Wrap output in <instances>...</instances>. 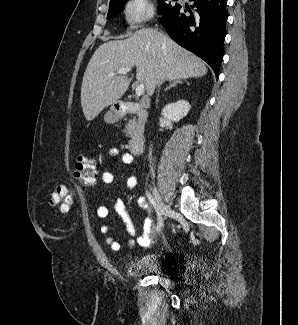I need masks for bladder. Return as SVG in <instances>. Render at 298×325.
Here are the masks:
<instances>
[{
  "label": "bladder",
  "mask_w": 298,
  "mask_h": 325,
  "mask_svg": "<svg viewBox=\"0 0 298 325\" xmlns=\"http://www.w3.org/2000/svg\"><path fill=\"white\" fill-rule=\"evenodd\" d=\"M124 273L131 278L160 275V266L156 255H146L125 265Z\"/></svg>",
  "instance_id": "31cf9c89"
}]
</instances>
